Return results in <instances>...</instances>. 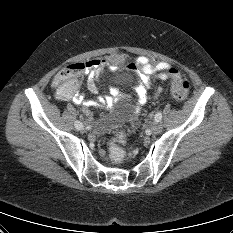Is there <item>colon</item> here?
Wrapping results in <instances>:
<instances>
[{"label":"colon","instance_id":"obj_1","mask_svg":"<svg viewBox=\"0 0 233 233\" xmlns=\"http://www.w3.org/2000/svg\"><path fill=\"white\" fill-rule=\"evenodd\" d=\"M84 71V63L71 64L61 69L54 77L59 90L63 94L76 92L80 86ZM167 72L172 77L171 92L173 97L178 100L185 99L190 90V82L183 78L178 70L173 67L169 68ZM125 141L126 133L120 129L117 131L114 140L109 144L110 159L114 164H121L125 160V151L122 148Z\"/></svg>","mask_w":233,"mask_h":233}]
</instances>
